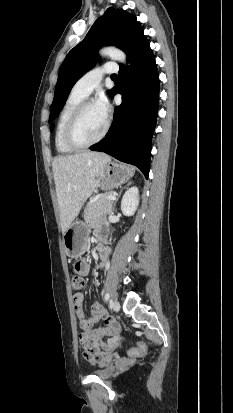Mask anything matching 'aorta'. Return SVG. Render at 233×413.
Masks as SVG:
<instances>
[{"label": "aorta", "instance_id": "obj_1", "mask_svg": "<svg viewBox=\"0 0 233 413\" xmlns=\"http://www.w3.org/2000/svg\"><path fill=\"white\" fill-rule=\"evenodd\" d=\"M99 54L103 57H109L112 60H116V61H119L120 63L127 65V62H126L127 58H126L125 53L115 47L102 48L99 50Z\"/></svg>", "mask_w": 233, "mask_h": 413}]
</instances>
